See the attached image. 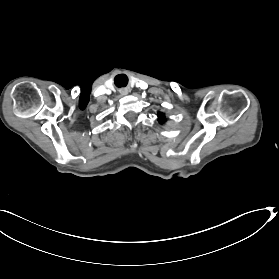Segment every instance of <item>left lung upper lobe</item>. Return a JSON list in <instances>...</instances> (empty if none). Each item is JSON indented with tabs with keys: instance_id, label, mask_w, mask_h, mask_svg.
Returning <instances> with one entry per match:
<instances>
[{
	"instance_id": "5c2ea615",
	"label": "left lung upper lobe",
	"mask_w": 279,
	"mask_h": 279,
	"mask_svg": "<svg viewBox=\"0 0 279 279\" xmlns=\"http://www.w3.org/2000/svg\"><path fill=\"white\" fill-rule=\"evenodd\" d=\"M158 118H159V122L161 123L165 122L166 120L164 114L162 113H158Z\"/></svg>"
}]
</instances>
